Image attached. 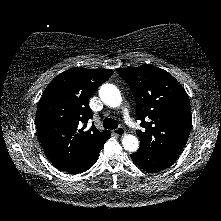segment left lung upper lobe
<instances>
[{"label": "left lung upper lobe", "instance_id": "left-lung-upper-lobe-1", "mask_svg": "<svg viewBox=\"0 0 221 221\" xmlns=\"http://www.w3.org/2000/svg\"><path fill=\"white\" fill-rule=\"evenodd\" d=\"M117 72L136 99L137 118L144 128L136 131L139 151L177 158L192 124L190 102L184 88L168 72L152 65L119 68Z\"/></svg>", "mask_w": 221, "mask_h": 221}]
</instances>
